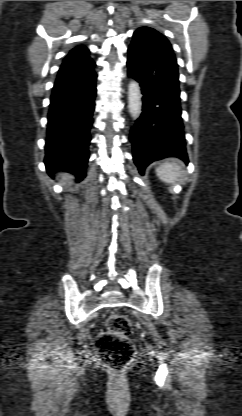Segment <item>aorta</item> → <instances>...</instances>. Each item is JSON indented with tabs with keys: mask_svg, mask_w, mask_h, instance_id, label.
<instances>
[{
	"mask_svg": "<svg viewBox=\"0 0 242 416\" xmlns=\"http://www.w3.org/2000/svg\"><path fill=\"white\" fill-rule=\"evenodd\" d=\"M141 90L139 83L136 80H131L128 85V109L130 115L137 119L141 114L142 101Z\"/></svg>",
	"mask_w": 242,
	"mask_h": 416,
	"instance_id": "1",
	"label": "aorta"
}]
</instances>
